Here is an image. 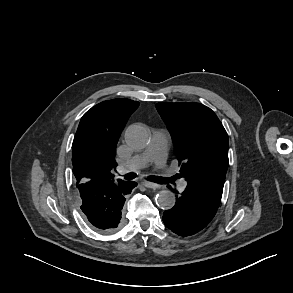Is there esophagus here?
<instances>
[{
	"label": "esophagus",
	"instance_id": "1",
	"mask_svg": "<svg viewBox=\"0 0 293 293\" xmlns=\"http://www.w3.org/2000/svg\"><path fill=\"white\" fill-rule=\"evenodd\" d=\"M142 184H143V186H145L147 188H152V189H156V188L160 187L159 184L153 183V182H149V181H144Z\"/></svg>",
	"mask_w": 293,
	"mask_h": 293
}]
</instances>
